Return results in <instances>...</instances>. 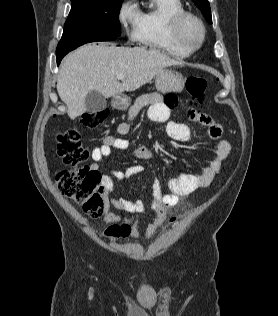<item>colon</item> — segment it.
<instances>
[{
    "label": "colon",
    "instance_id": "obj_1",
    "mask_svg": "<svg viewBox=\"0 0 278 316\" xmlns=\"http://www.w3.org/2000/svg\"><path fill=\"white\" fill-rule=\"evenodd\" d=\"M207 81L201 77H190L186 80V90L196 105H202ZM107 117V112L86 113L82 124L86 128H97ZM57 153L67 169L59 172L55 178L59 191L83 207L91 217L104 213L106 190L101 183V175L91 170L84 163L90 153L84 148L78 126L74 125L57 134Z\"/></svg>",
    "mask_w": 278,
    "mask_h": 316
}]
</instances>
